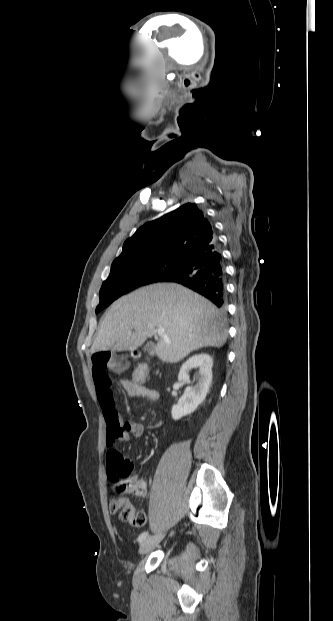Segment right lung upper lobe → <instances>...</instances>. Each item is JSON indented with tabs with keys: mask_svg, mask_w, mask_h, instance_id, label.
<instances>
[{
	"mask_svg": "<svg viewBox=\"0 0 333 621\" xmlns=\"http://www.w3.org/2000/svg\"><path fill=\"white\" fill-rule=\"evenodd\" d=\"M216 239L212 224L194 203L140 227L112 264L159 257L185 258Z\"/></svg>",
	"mask_w": 333,
	"mask_h": 621,
	"instance_id": "right-lung-upper-lobe-1",
	"label": "right lung upper lobe"
}]
</instances>
